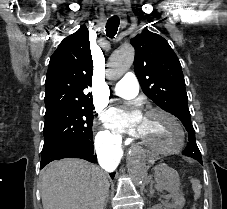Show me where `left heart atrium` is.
Wrapping results in <instances>:
<instances>
[{
    "instance_id": "obj_1",
    "label": "left heart atrium",
    "mask_w": 227,
    "mask_h": 209,
    "mask_svg": "<svg viewBox=\"0 0 227 209\" xmlns=\"http://www.w3.org/2000/svg\"><path fill=\"white\" fill-rule=\"evenodd\" d=\"M143 119L139 104H136L130 110L113 106L103 115V121L107 126L121 132L136 131L142 124Z\"/></svg>"
}]
</instances>
